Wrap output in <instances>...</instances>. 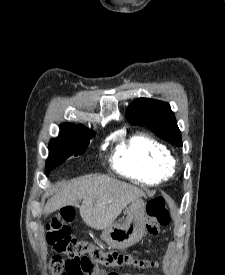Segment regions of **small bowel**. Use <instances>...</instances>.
<instances>
[{
  "mask_svg": "<svg viewBox=\"0 0 225 275\" xmlns=\"http://www.w3.org/2000/svg\"><path fill=\"white\" fill-rule=\"evenodd\" d=\"M96 275H109L108 272H106L105 270H99ZM117 275H130V274H127V273H122V274H117ZM136 275H144V274H141V273H138Z\"/></svg>",
  "mask_w": 225,
  "mask_h": 275,
  "instance_id": "c3829d8e",
  "label": "small bowel"
}]
</instances>
